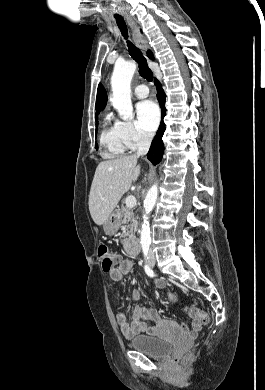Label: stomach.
Listing matches in <instances>:
<instances>
[{"label": "stomach", "instance_id": "1", "mask_svg": "<svg viewBox=\"0 0 265 390\" xmlns=\"http://www.w3.org/2000/svg\"><path fill=\"white\" fill-rule=\"evenodd\" d=\"M120 224V215L116 211L112 212L103 223V230L106 235H114L119 230Z\"/></svg>", "mask_w": 265, "mask_h": 390}]
</instances>
